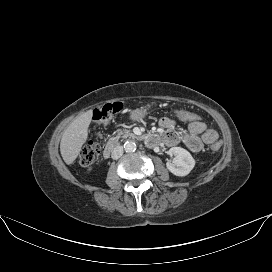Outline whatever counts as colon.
Segmentation results:
<instances>
[{"label":"colon","instance_id":"1","mask_svg":"<svg viewBox=\"0 0 272 272\" xmlns=\"http://www.w3.org/2000/svg\"><path fill=\"white\" fill-rule=\"evenodd\" d=\"M119 103L106 104L96 109L93 113V120L99 124H107L111 118L121 110ZM172 115L179 121L190 122L201 120L199 114L185 109H174ZM221 147L219 141H215L211 145L213 151H218ZM100 153V145L97 141H88L81 150L79 161L82 166H89L98 158Z\"/></svg>","mask_w":272,"mask_h":272}]
</instances>
